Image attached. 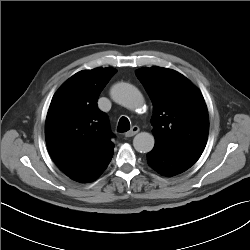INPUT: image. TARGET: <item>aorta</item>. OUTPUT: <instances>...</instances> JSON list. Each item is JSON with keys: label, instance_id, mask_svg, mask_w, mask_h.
Here are the masks:
<instances>
[{"label": "aorta", "instance_id": "1", "mask_svg": "<svg viewBox=\"0 0 250 250\" xmlns=\"http://www.w3.org/2000/svg\"><path fill=\"white\" fill-rule=\"evenodd\" d=\"M111 97L116 102L129 109L143 105V96L133 85L125 82L115 84L111 89ZM155 144L154 136L147 132L138 133L133 139V146L140 153L150 152Z\"/></svg>", "mask_w": 250, "mask_h": 250}]
</instances>
